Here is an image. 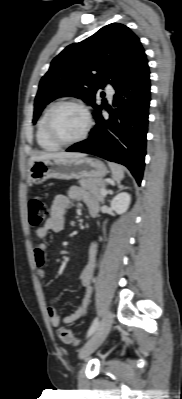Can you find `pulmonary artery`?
<instances>
[{
    "label": "pulmonary artery",
    "instance_id": "pulmonary-artery-1",
    "mask_svg": "<svg viewBox=\"0 0 182 399\" xmlns=\"http://www.w3.org/2000/svg\"><path fill=\"white\" fill-rule=\"evenodd\" d=\"M107 94H108L110 99L113 98V96L115 94V89L113 88V86H111V85L107 86Z\"/></svg>",
    "mask_w": 182,
    "mask_h": 399
}]
</instances>
